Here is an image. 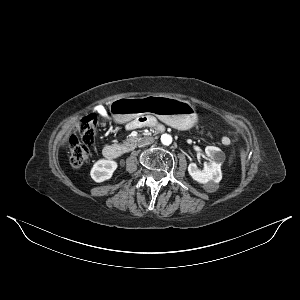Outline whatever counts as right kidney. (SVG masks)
Listing matches in <instances>:
<instances>
[{"instance_id": "1", "label": "right kidney", "mask_w": 300, "mask_h": 300, "mask_svg": "<svg viewBox=\"0 0 300 300\" xmlns=\"http://www.w3.org/2000/svg\"><path fill=\"white\" fill-rule=\"evenodd\" d=\"M117 166V162L114 160H98L91 169V178L98 183L109 180L117 169Z\"/></svg>"}]
</instances>
